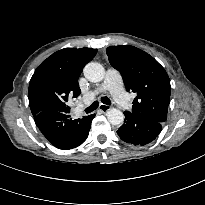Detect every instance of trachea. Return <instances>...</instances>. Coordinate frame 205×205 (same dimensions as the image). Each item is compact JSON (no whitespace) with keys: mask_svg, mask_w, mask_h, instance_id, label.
Returning a JSON list of instances; mask_svg holds the SVG:
<instances>
[{"mask_svg":"<svg viewBox=\"0 0 205 205\" xmlns=\"http://www.w3.org/2000/svg\"><path fill=\"white\" fill-rule=\"evenodd\" d=\"M101 102H102L103 104H106V105H111V101H110V99H109L108 97H102V98H101ZM97 107H98V102L95 101V102H93V104H92L91 106H89V107H87V108L85 109V112H86V113H91V112L94 111Z\"/></svg>","mask_w":205,"mask_h":205,"instance_id":"3493384b","label":"trachea"}]
</instances>
